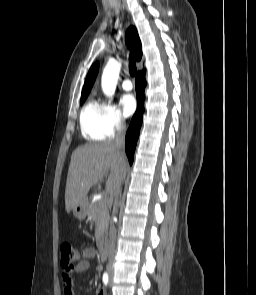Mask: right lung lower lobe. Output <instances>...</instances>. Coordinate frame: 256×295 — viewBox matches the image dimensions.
<instances>
[{
    "instance_id": "obj_1",
    "label": "right lung lower lobe",
    "mask_w": 256,
    "mask_h": 295,
    "mask_svg": "<svg viewBox=\"0 0 256 295\" xmlns=\"http://www.w3.org/2000/svg\"><path fill=\"white\" fill-rule=\"evenodd\" d=\"M136 94H137V102L138 107L137 111L134 114L128 131L126 133V154L129 159V163L132 165L134 158V151L136 147V143L140 133V127L142 124V115L144 112L143 100H144V88L146 86L145 81V71L139 72L136 76Z\"/></svg>"
}]
</instances>
